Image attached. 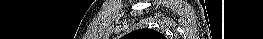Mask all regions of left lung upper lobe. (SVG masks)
<instances>
[{
	"label": "left lung upper lobe",
	"instance_id": "left-lung-upper-lobe-1",
	"mask_svg": "<svg viewBox=\"0 0 263 39\" xmlns=\"http://www.w3.org/2000/svg\"><path fill=\"white\" fill-rule=\"evenodd\" d=\"M124 39H166L165 36L156 30L138 29L123 37Z\"/></svg>",
	"mask_w": 263,
	"mask_h": 39
}]
</instances>
